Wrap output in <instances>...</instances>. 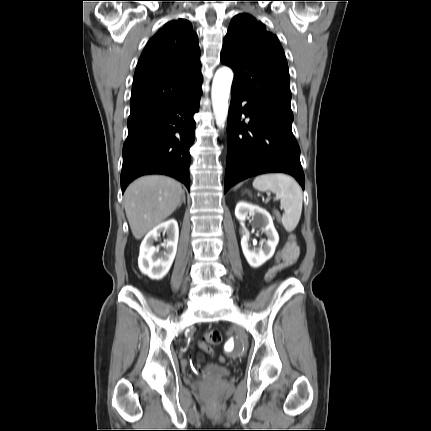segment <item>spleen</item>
I'll use <instances>...</instances> for the list:
<instances>
[{
	"mask_svg": "<svg viewBox=\"0 0 431 431\" xmlns=\"http://www.w3.org/2000/svg\"><path fill=\"white\" fill-rule=\"evenodd\" d=\"M253 187L261 192H273L280 199L284 209L282 224L287 232H292L302 212L303 195L299 184L285 174H263L254 179Z\"/></svg>",
	"mask_w": 431,
	"mask_h": 431,
	"instance_id": "3e777b00",
	"label": "spleen"
}]
</instances>
